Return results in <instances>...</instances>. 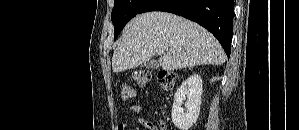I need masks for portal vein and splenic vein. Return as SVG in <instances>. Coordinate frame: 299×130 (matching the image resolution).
<instances>
[{
	"mask_svg": "<svg viewBox=\"0 0 299 130\" xmlns=\"http://www.w3.org/2000/svg\"><path fill=\"white\" fill-rule=\"evenodd\" d=\"M157 54L162 55V54H164V51L160 49L157 51Z\"/></svg>",
	"mask_w": 299,
	"mask_h": 130,
	"instance_id": "1",
	"label": "portal vein and splenic vein"
}]
</instances>
